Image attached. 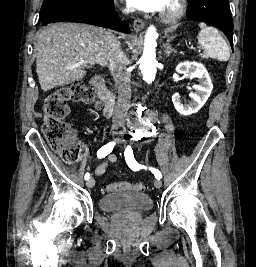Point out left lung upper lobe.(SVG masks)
Masks as SVG:
<instances>
[{"label": "left lung upper lobe", "instance_id": "5c2ea615", "mask_svg": "<svg viewBox=\"0 0 256 267\" xmlns=\"http://www.w3.org/2000/svg\"><path fill=\"white\" fill-rule=\"evenodd\" d=\"M188 17L219 28L233 47V21L228 0H189Z\"/></svg>", "mask_w": 256, "mask_h": 267}]
</instances>
